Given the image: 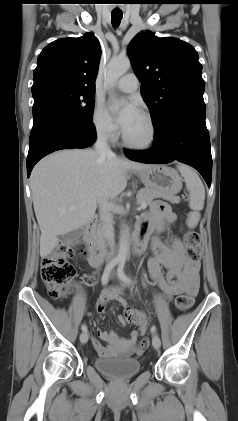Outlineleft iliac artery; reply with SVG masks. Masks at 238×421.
<instances>
[{
    "mask_svg": "<svg viewBox=\"0 0 238 421\" xmlns=\"http://www.w3.org/2000/svg\"><path fill=\"white\" fill-rule=\"evenodd\" d=\"M124 265H125V262L124 261H120L119 266L117 268V274H118V277L120 278V280H122L125 284H128L129 285V284L132 283V281L124 273V270H123L124 269ZM155 332H156V327L155 326H152L151 327V333L154 334Z\"/></svg>",
    "mask_w": 238,
    "mask_h": 421,
    "instance_id": "1",
    "label": "left iliac artery"
}]
</instances>
